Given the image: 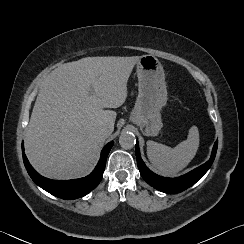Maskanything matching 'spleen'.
I'll return each instance as SVG.
<instances>
[{
    "instance_id": "3e777b00",
    "label": "spleen",
    "mask_w": 244,
    "mask_h": 244,
    "mask_svg": "<svg viewBox=\"0 0 244 244\" xmlns=\"http://www.w3.org/2000/svg\"><path fill=\"white\" fill-rule=\"evenodd\" d=\"M198 147V128L192 126L189 129L187 139L174 148L152 140L147 141V156L154 169L159 173L175 175L191 162L196 155Z\"/></svg>"
}]
</instances>
